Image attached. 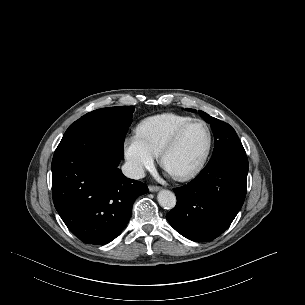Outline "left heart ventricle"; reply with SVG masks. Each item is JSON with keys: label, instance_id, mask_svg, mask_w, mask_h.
<instances>
[{"label": "left heart ventricle", "instance_id": "b2bd125f", "mask_svg": "<svg viewBox=\"0 0 305 305\" xmlns=\"http://www.w3.org/2000/svg\"><path fill=\"white\" fill-rule=\"evenodd\" d=\"M208 141L206 128L199 123L190 126L178 146L166 159V169L177 175L192 169L201 159Z\"/></svg>", "mask_w": 305, "mask_h": 305}]
</instances>
